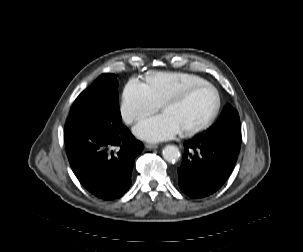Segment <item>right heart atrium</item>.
Masks as SVG:
<instances>
[{
  "instance_id": "obj_1",
  "label": "right heart atrium",
  "mask_w": 303,
  "mask_h": 252,
  "mask_svg": "<svg viewBox=\"0 0 303 252\" xmlns=\"http://www.w3.org/2000/svg\"><path fill=\"white\" fill-rule=\"evenodd\" d=\"M157 105L149 96L146 85L138 78L126 84L120 101V114L126 124H133L155 112Z\"/></svg>"
}]
</instances>
